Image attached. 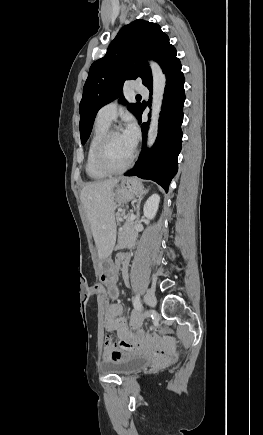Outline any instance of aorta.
Listing matches in <instances>:
<instances>
[{
	"label": "aorta",
	"instance_id": "obj_1",
	"mask_svg": "<svg viewBox=\"0 0 263 435\" xmlns=\"http://www.w3.org/2000/svg\"><path fill=\"white\" fill-rule=\"evenodd\" d=\"M150 67L153 76V100H152V113L151 122L148 131L147 146L151 147L155 142L158 133V123L160 111L162 107L163 94L166 85V77L163 74L160 66L151 61Z\"/></svg>",
	"mask_w": 263,
	"mask_h": 435
}]
</instances>
